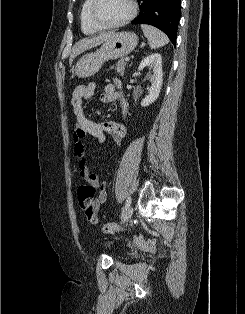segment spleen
Masks as SVG:
<instances>
[{"instance_id":"spleen-1","label":"spleen","mask_w":245,"mask_h":314,"mask_svg":"<svg viewBox=\"0 0 245 314\" xmlns=\"http://www.w3.org/2000/svg\"><path fill=\"white\" fill-rule=\"evenodd\" d=\"M141 29L148 39L151 49H157L169 43L168 37L159 29L147 24H141Z\"/></svg>"}]
</instances>
